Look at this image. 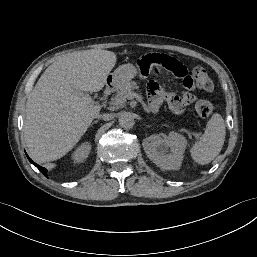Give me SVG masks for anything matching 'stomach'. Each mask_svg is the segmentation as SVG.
<instances>
[{"label":"stomach","mask_w":257,"mask_h":257,"mask_svg":"<svg viewBox=\"0 0 257 257\" xmlns=\"http://www.w3.org/2000/svg\"><path fill=\"white\" fill-rule=\"evenodd\" d=\"M137 73L133 69L132 64L120 65L112 74L111 79L117 86H122L134 78Z\"/></svg>","instance_id":"stomach-1"}]
</instances>
